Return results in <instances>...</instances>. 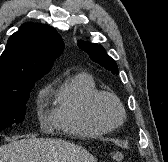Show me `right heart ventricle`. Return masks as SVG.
<instances>
[{
	"instance_id": "obj_1",
	"label": "right heart ventricle",
	"mask_w": 168,
	"mask_h": 162,
	"mask_svg": "<svg viewBox=\"0 0 168 162\" xmlns=\"http://www.w3.org/2000/svg\"><path fill=\"white\" fill-rule=\"evenodd\" d=\"M98 91L92 75L75 72L67 75L55 94L52 122L66 133L83 137L105 134L108 130L89 115L88 102Z\"/></svg>"
}]
</instances>
